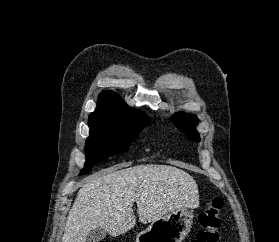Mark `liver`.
I'll use <instances>...</instances> for the list:
<instances>
[{"mask_svg": "<svg viewBox=\"0 0 279 242\" xmlns=\"http://www.w3.org/2000/svg\"><path fill=\"white\" fill-rule=\"evenodd\" d=\"M128 166L130 163L117 165L86 179L69 211L62 242H86L96 228L111 236L126 233L136 224L134 202L144 224L176 209L199 206L196 181L182 169L154 164Z\"/></svg>", "mask_w": 279, "mask_h": 242, "instance_id": "6515ba94", "label": "liver"}]
</instances>
